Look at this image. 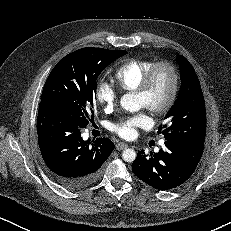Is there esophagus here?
I'll list each match as a JSON object with an SVG mask.
<instances>
[{"label": "esophagus", "mask_w": 231, "mask_h": 231, "mask_svg": "<svg viewBox=\"0 0 231 231\" xmlns=\"http://www.w3.org/2000/svg\"><path fill=\"white\" fill-rule=\"evenodd\" d=\"M128 147V145L124 142H119L117 145H116V149L121 151V150H124Z\"/></svg>", "instance_id": "esophagus-1"}]
</instances>
